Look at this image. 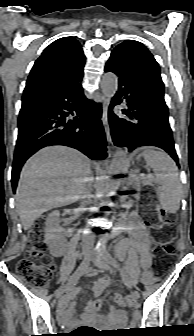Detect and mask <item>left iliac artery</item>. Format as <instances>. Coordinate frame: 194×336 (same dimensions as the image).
<instances>
[{
	"label": "left iliac artery",
	"mask_w": 194,
	"mask_h": 336,
	"mask_svg": "<svg viewBox=\"0 0 194 336\" xmlns=\"http://www.w3.org/2000/svg\"><path fill=\"white\" fill-rule=\"evenodd\" d=\"M121 275H122V277H123V281H124V283H125L129 288H131V287H132V282H131V280L127 277V275H126L123 271H121Z\"/></svg>",
	"instance_id": "left-iliac-artery-1"
}]
</instances>
